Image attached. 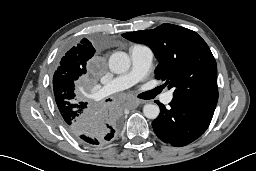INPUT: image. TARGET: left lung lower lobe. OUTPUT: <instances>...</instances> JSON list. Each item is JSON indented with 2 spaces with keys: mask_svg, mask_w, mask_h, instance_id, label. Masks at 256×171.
I'll list each match as a JSON object with an SVG mask.
<instances>
[{
  "mask_svg": "<svg viewBox=\"0 0 256 171\" xmlns=\"http://www.w3.org/2000/svg\"><path fill=\"white\" fill-rule=\"evenodd\" d=\"M161 113L152 122L155 134L172 146H185L199 138L208 128L214 114L212 108L173 98L166 108L159 103Z\"/></svg>",
  "mask_w": 256,
  "mask_h": 171,
  "instance_id": "1",
  "label": "left lung lower lobe"
}]
</instances>
